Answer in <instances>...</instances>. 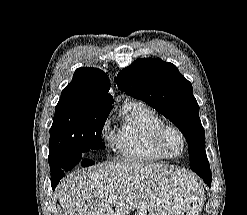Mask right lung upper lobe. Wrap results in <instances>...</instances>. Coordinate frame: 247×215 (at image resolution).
<instances>
[{
    "label": "right lung upper lobe",
    "instance_id": "cb5924a9",
    "mask_svg": "<svg viewBox=\"0 0 247 215\" xmlns=\"http://www.w3.org/2000/svg\"><path fill=\"white\" fill-rule=\"evenodd\" d=\"M109 89V78L102 70L79 68L62 93L70 92L86 103L111 109L113 97L108 94Z\"/></svg>",
    "mask_w": 247,
    "mask_h": 215
}]
</instances>
